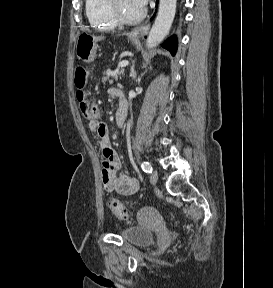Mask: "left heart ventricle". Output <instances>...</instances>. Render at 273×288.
Segmentation results:
<instances>
[{"label":"left heart ventricle","mask_w":273,"mask_h":288,"mask_svg":"<svg viewBox=\"0 0 273 288\" xmlns=\"http://www.w3.org/2000/svg\"><path fill=\"white\" fill-rule=\"evenodd\" d=\"M120 14L126 18H134L141 14L142 10L135 0H118Z\"/></svg>","instance_id":"left-heart-ventricle-1"}]
</instances>
